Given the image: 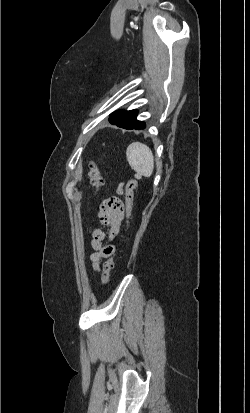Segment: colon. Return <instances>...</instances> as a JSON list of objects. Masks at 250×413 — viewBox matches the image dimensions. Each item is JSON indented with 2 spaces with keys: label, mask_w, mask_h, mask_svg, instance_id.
Listing matches in <instances>:
<instances>
[{
  "label": "colon",
  "mask_w": 250,
  "mask_h": 413,
  "mask_svg": "<svg viewBox=\"0 0 250 413\" xmlns=\"http://www.w3.org/2000/svg\"><path fill=\"white\" fill-rule=\"evenodd\" d=\"M89 177L90 183L96 189H99L103 185V178L99 172L98 166L96 161L92 160L89 163ZM138 180L131 179L126 185V204H125V213H126V230L129 227V220L132 212L133 206V199H134V192L138 187ZM114 257L115 253H113L110 257L106 259L103 264L102 268V284L106 285L110 278V273L114 267Z\"/></svg>",
  "instance_id": "1"
}]
</instances>
